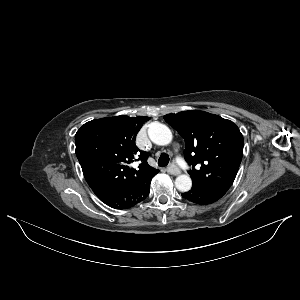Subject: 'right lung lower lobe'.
Returning a JSON list of instances; mask_svg holds the SVG:
<instances>
[{
	"instance_id": "obj_1",
	"label": "right lung lower lobe",
	"mask_w": 300,
	"mask_h": 300,
	"mask_svg": "<svg viewBox=\"0 0 300 300\" xmlns=\"http://www.w3.org/2000/svg\"><path fill=\"white\" fill-rule=\"evenodd\" d=\"M151 179L152 178L148 179L142 184L128 185L109 194L99 195L98 198L112 208H130L148 196Z\"/></svg>"
}]
</instances>
